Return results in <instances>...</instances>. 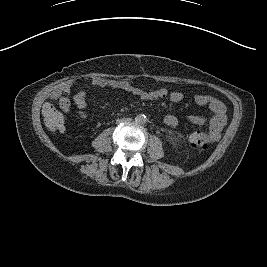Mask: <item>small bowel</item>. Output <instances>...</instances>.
I'll return each instance as SVG.
<instances>
[{
    "label": "small bowel",
    "instance_id": "1",
    "mask_svg": "<svg viewBox=\"0 0 267 267\" xmlns=\"http://www.w3.org/2000/svg\"><path fill=\"white\" fill-rule=\"evenodd\" d=\"M92 85L95 87H110L125 89L143 101H155L160 99H168L173 103H179L184 100V94L180 91H169L164 87H159L155 90L149 91L137 86L125 82L115 81H103L100 79H94ZM73 84H69L63 88L59 93L58 101L60 107L64 111H69L71 107V99L69 94L73 89ZM88 93L86 90H79L73 94L72 100L75 104L79 116L82 119L87 118L86 106H87ZM194 102L198 106H206L211 112L210 117H202L197 115H191L187 117V121L193 125H206L208 126V134H206L210 142H216L221 138L222 131L227 121L225 105L213 96L207 94H196L193 98ZM164 123L169 127H176L178 125V119L174 115H167L164 118ZM199 132H194L196 134Z\"/></svg>",
    "mask_w": 267,
    "mask_h": 267
}]
</instances>
